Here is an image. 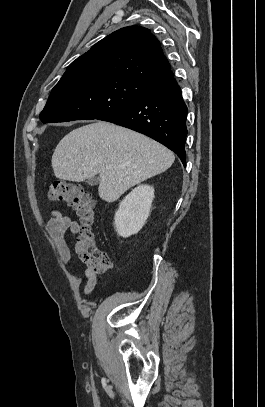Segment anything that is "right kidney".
Wrapping results in <instances>:
<instances>
[{
	"label": "right kidney",
	"mask_w": 265,
	"mask_h": 407,
	"mask_svg": "<svg viewBox=\"0 0 265 407\" xmlns=\"http://www.w3.org/2000/svg\"><path fill=\"white\" fill-rule=\"evenodd\" d=\"M153 199L154 188L139 185L122 200L114 217L118 235L127 238L142 229L150 214Z\"/></svg>",
	"instance_id": "obj_1"
}]
</instances>
